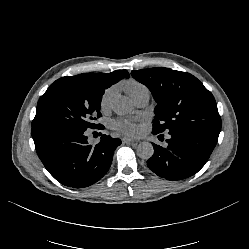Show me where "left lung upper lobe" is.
<instances>
[{
    "mask_svg": "<svg viewBox=\"0 0 249 249\" xmlns=\"http://www.w3.org/2000/svg\"><path fill=\"white\" fill-rule=\"evenodd\" d=\"M131 75L148 87L157 102L153 128L160 132L181 127L221 130L213 95L193 75L164 67L133 70Z\"/></svg>",
    "mask_w": 249,
    "mask_h": 249,
    "instance_id": "left-lung-upper-lobe-1",
    "label": "left lung upper lobe"
}]
</instances>
